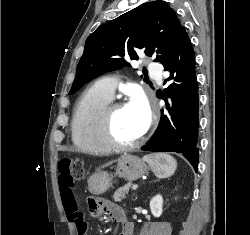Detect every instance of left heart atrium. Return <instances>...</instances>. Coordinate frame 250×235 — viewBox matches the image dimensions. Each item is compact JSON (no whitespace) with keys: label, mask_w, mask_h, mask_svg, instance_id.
I'll return each mask as SVG.
<instances>
[{"label":"left heart atrium","mask_w":250,"mask_h":235,"mask_svg":"<svg viewBox=\"0 0 250 235\" xmlns=\"http://www.w3.org/2000/svg\"><path fill=\"white\" fill-rule=\"evenodd\" d=\"M127 107L135 115L142 134L147 130L151 113L147 100L142 94H134Z\"/></svg>","instance_id":"obj_1"}]
</instances>
